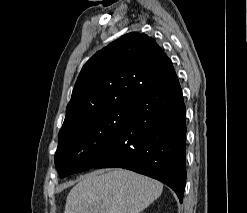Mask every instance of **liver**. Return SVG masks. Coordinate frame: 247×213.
I'll return each mask as SVG.
<instances>
[{"instance_id":"1","label":"liver","mask_w":247,"mask_h":213,"mask_svg":"<svg viewBox=\"0 0 247 213\" xmlns=\"http://www.w3.org/2000/svg\"><path fill=\"white\" fill-rule=\"evenodd\" d=\"M162 191L159 181L129 170H97L71 189L64 213H140Z\"/></svg>"}]
</instances>
